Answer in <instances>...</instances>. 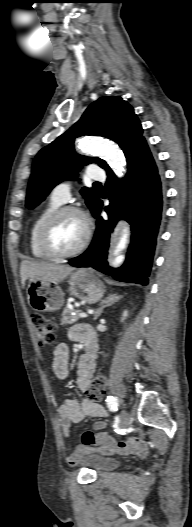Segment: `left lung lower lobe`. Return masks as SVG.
I'll list each match as a JSON object with an SVG mask.
<instances>
[{"mask_svg":"<svg viewBox=\"0 0 192 527\" xmlns=\"http://www.w3.org/2000/svg\"><path fill=\"white\" fill-rule=\"evenodd\" d=\"M127 162L124 179H117L113 172L107 173L105 187L110 192V205L105 211L109 219L99 216L103 206L99 200L94 214L97 218L94 239L89 248L69 264L93 267L118 281L147 285L161 220V174L146 141L133 149ZM120 218L131 224V244L124 265L112 269L106 261L109 237Z\"/></svg>","mask_w":192,"mask_h":527,"instance_id":"left-lung-lower-lobe-1","label":"left lung lower lobe"}]
</instances>
